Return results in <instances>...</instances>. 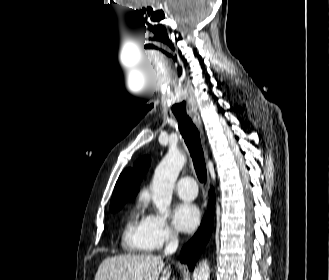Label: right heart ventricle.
<instances>
[{"instance_id": "1", "label": "right heart ventricle", "mask_w": 329, "mask_h": 280, "mask_svg": "<svg viewBox=\"0 0 329 280\" xmlns=\"http://www.w3.org/2000/svg\"><path fill=\"white\" fill-rule=\"evenodd\" d=\"M123 247L130 252H150L152 250L147 232V216L142 214L138 203L132 210L123 231Z\"/></svg>"}]
</instances>
